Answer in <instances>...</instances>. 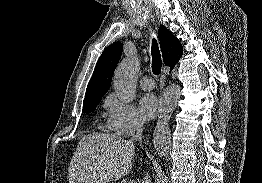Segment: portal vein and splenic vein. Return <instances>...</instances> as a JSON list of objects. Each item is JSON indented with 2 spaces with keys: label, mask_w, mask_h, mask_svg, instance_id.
I'll return each mask as SVG.
<instances>
[{
  "label": "portal vein and splenic vein",
  "mask_w": 262,
  "mask_h": 183,
  "mask_svg": "<svg viewBox=\"0 0 262 183\" xmlns=\"http://www.w3.org/2000/svg\"><path fill=\"white\" fill-rule=\"evenodd\" d=\"M129 183H135L134 181H130Z\"/></svg>",
  "instance_id": "18ae733b"
}]
</instances>
